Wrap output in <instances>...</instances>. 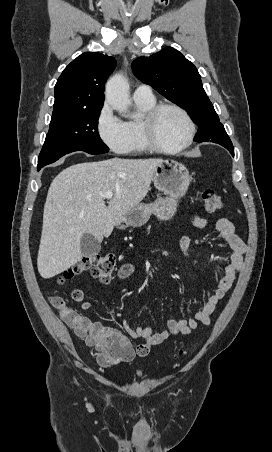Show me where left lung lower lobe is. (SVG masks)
<instances>
[{
	"label": "left lung lower lobe",
	"instance_id": "0a47b994",
	"mask_svg": "<svg viewBox=\"0 0 272 452\" xmlns=\"http://www.w3.org/2000/svg\"><path fill=\"white\" fill-rule=\"evenodd\" d=\"M218 144L224 146L234 156V147L230 139L229 141H221Z\"/></svg>",
	"mask_w": 272,
	"mask_h": 452
}]
</instances>
